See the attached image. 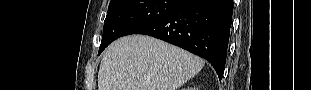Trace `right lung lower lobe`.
I'll return each instance as SVG.
<instances>
[{"mask_svg":"<svg viewBox=\"0 0 311 90\" xmlns=\"http://www.w3.org/2000/svg\"><path fill=\"white\" fill-rule=\"evenodd\" d=\"M232 0H182L168 15L139 30L209 61L221 80L233 14Z\"/></svg>","mask_w":311,"mask_h":90,"instance_id":"right-lung-lower-lobe-1","label":"right lung lower lobe"}]
</instances>
